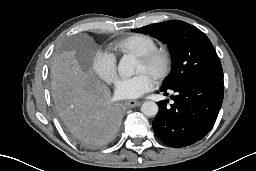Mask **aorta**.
<instances>
[{"label": "aorta", "instance_id": "aorta-1", "mask_svg": "<svg viewBox=\"0 0 256 171\" xmlns=\"http://www.w3.org/2000/svg\"><path fill=\"white\" fill-rule=\"evenodd\" d=\"M136 68V59L129 55L123 56L118 64L119 74L126 77L134 75ZM141 112L147 117H153L158 113V105L153 101H145L141 106Z\"/></svg>", "mask_w": 256, "mask_h": 171}]
</instances>
